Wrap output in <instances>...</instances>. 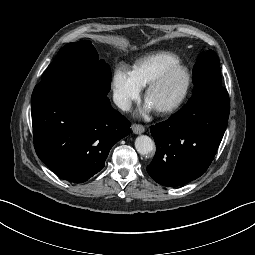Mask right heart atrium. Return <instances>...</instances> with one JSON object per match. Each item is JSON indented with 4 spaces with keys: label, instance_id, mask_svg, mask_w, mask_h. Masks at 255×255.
<instances>
[{
    "label": "right heart atrium",
    "instance_id": "obj_1",
    "mask_svg": "<svg viewBox=\"0 0 255 255\" xmlns=\"http://www.w3.org/2000/svg\"><path fill=\"white\" fill-rule=\"evenodd\" d=\"M142 87L137 82L133 71L125 65L118 66L113 75V94L121 109H128L140 96Z\"/></svg>",
    "mask_w": 255,
    "mask_h": 255
}]
</instances>
